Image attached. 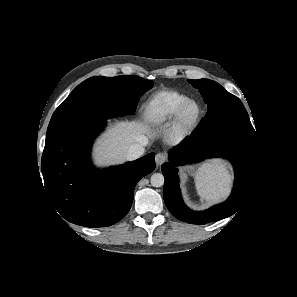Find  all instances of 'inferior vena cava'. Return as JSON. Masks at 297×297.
I'll return each mask as SVG.
<instances>
[{"label":"inferior vena cava","instance_id":"inferior-vena-cava-1","mask_svg":"<svg viewBox=\"0 0 297 297\" xmlns=\"http://www.w3.org/2000/svg\"><path fill=\"white\" fill-rule=\"evenodd\" d=\"M148 138L145 135L139 136V143L131 145L127 151V160L139 158L145 152L144 146L147 145Z\"/></svg>","mask_w":297,"mask_h":297}]
</instances>
